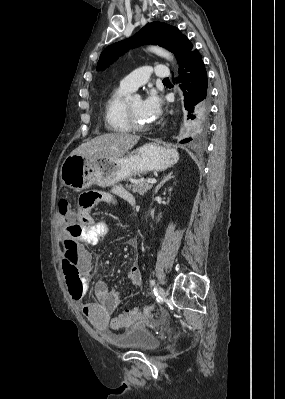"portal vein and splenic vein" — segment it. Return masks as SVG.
Segmentation results:
<instances>
[{
  "label": "portal vein and splenic vein",
  "instance_id": "1",
  "mask_svg": "<svg viewBox=\"0 0 285 399\" xmlns=\"http://www.w3.org/2000/svg\"><path fill=\"white\" fill-rule=\"evenodd\" d=\"M157 181H156V179H148L147 180V183H149V184H155Z\"/></svg>",
  "mask_w": 285,
  "mask_h": 399
}]
</instances>
